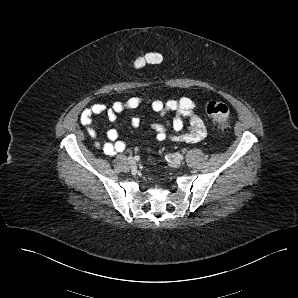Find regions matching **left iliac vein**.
Segmentation results:
<instances>
[{"label": "left iliac vein", "mask_w": 298, "mask_h": 298, "mask_svg": "<svg viewBox=\"0 0 298 298\" xmlns=\"http://www.w3.org/2000/svg\"><path fill=\"white\" fill-rule=\"evenodd\" d=\"M168 163L171 167L178 168L181 166V162L178 159H170Z\"/></svg>", "instance_id": "1"}]
</instances>
